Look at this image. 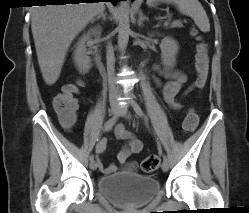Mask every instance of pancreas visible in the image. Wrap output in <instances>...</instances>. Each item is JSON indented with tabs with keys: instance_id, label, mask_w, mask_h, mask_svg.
<instances>
[{
	"instance_id": "cf45deb5",
	"label": "pancreas",
	"mask_w": 249,
	"mask_h": 213,
	"mask_svg": "<svg viewBox=\"0 0 249 213\" xmlns=\"http://www.w3.org/2000/svg\"><path fill=\"white\" fill-rule=\"evenodd\" d=\"M171 28H181L183 27L182 23L180 21H174L171 26Z\"/></svg>"
}]
</instances>
